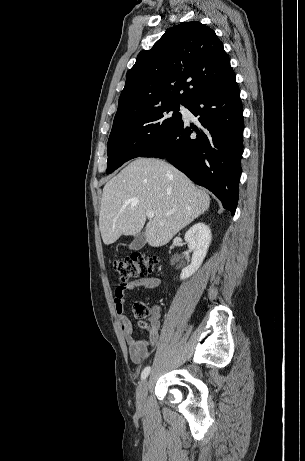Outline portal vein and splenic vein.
Returning <instances> with one entry per match:
<instances>
[{"label": "portal vein and splenic vein", "instance_id": "obj_1", "mask_svg": "<svg viewBox=\"0 0 305 461\" xmlns=\"http://www.w3.org/2000/svg\"><path fill=\"white\" fill-rule=\"evenodd\" d=\"M146 215H147L148 218L151 219V218L154 217V212H153V211H147V212H146ZM167 215H169V213H167Z\"/></svg>", "mask_w": 305, "mask_h": 461}]
</instances>
